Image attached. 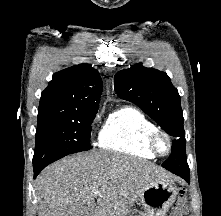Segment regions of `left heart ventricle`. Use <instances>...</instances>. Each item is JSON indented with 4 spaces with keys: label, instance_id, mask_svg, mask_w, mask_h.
<instances>
[{
    "label": "left heart ventricle",
    "instance_id": "b2bd125f",
    "mask_svg": "<svg viewBox=\"0 0 221 216\" xmlns=\"http://www.w3.org/2000/svg\"><path fill=\"white\" fill-rule=\"evenodd\" d=\"M161 148H164V143H161Z\"/></svg>",
    "mask_w": 221,
    "mask_h": 216
}]
</instances>
